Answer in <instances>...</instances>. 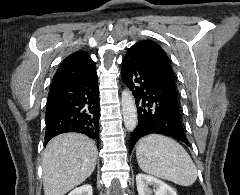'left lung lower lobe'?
I'll return each instance as SVG.
<instances>
[{
  "label": "left lung lower lobe",
  "mask_w": 240,
  "mask_h": 195,
  "mask_svg": "<svg viewBox=\"0 0 240 195\" xmlns=\"http://www.w3.org/2000/svg\"><path fill=\"white\" fill-rule=\"evenodd\" d=\"M122 64L123 82L132 91L138 110V124L131 136L130 150L141 137L151 133L168 135L188 145L176 86L127 56Z\"/></svg>",
  "instance_id": "0a47b994"
}]
</instances>
